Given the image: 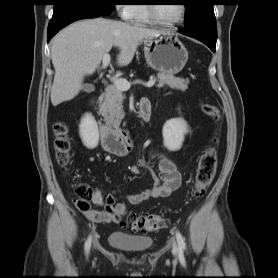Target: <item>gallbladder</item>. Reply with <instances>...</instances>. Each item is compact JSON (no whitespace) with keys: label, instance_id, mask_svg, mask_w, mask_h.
Returning <instances> with one entry per match:
<instances>
[{"label":"gallbladder","instance_id":"obj_1","mask_svg":"<svg viewBox=\"0 0 278 278\" xmlns=\"http://www.w3.org/2000/svg\"><path fill=\"white\" fill-rule=\"evenodd\" d=\"M82 90L86 93H91L94 90V86L92 84H85Z\"/></svg>","mask_w":278,"mask_h":278}]
</instances>
